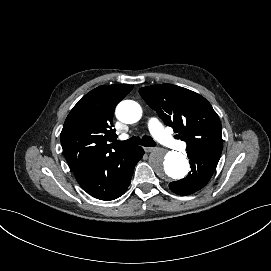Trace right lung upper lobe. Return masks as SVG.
Listing matches in <instances>:
<instances>
[{
  "label": "right lung upper lobe",
  "mask_w": 271,
  "mask_h": 271,
  "mask_svg": "<svg viewBox=\"0 0 271 271\" xmlns=\"http://www.w3.org/2000/svg\"><path fill=\"white\" fill-rule=\"evenodd\" d=\"M132 88V85L99 86L81 98L67 116L61 145L78 182L128 149L109 143L117 138L112 129L115 107Z\"/></svg>",
  "instance_id": "obj_1"
}]
</instances>
